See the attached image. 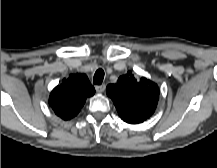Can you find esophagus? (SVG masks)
<instances>
[{
	"label": "esophagus",
	"instance_id": "1",
	"mask_svg": "<svg viewBox=\"0 0 217 168\" xmlns=\"http://www.w3.org/2000/svg\"><path fill=\"white\" fill-rule=\"evenodd\" d=\"M105 88H106L105 84H102V85L96 86L95 90H96L97 93H103Z\"/></svg>",
	"mask_w": 217,
	"mask_h": 168
}]
</instances>
